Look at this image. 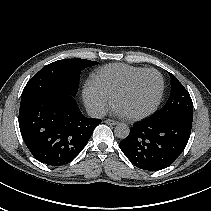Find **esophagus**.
Segmentation results:
<instances>
[{
  "label": "esophagus",
  "mask_w": 211,
  "mask_h": 211,
  "mask_svg": "<svg viewBox=\"0 0 211 211\" xmlns=\"http://www.w3.org/2000/svg\"><path fill=\"white\" fill-rule=\"evenodd\" d=\"M105 123L108 124V125H117L118 124L117 121L112 120V119H106Z\"/></svg>",
  "instance_id": "1"
}]
</instances>
